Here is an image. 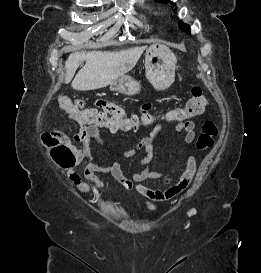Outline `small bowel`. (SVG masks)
<instances>
[{"instance_id":"c3829d8e","label":"small bowel","mask_w":261,"mask_h":273,"mask_svg":"<svg viewBox=\"0 0 261 273\" xmlns=\"http://www.w3.org/2000/svg\"><path fill=\"white\" fill-rule=\"evenodd\" d=\"M96 107L101 111L107 113L111 116H117L119 118H127L125 111L117 106L114 103L107 102L104 100L96 101ZM143 111H149L151 109L150 104H145L143 106ZM69 114V113H68ZM70 118L76 121L80 125V129L72 136V140H68V143L71 145L75 156L76 161L72 166L81 165L83 162H86L84 169V178L95 186L99 190L106 188L105 183L99 179L98 174L109 173L112 175L113 179L127 191H135L153 201H166L170 200L183 190L177 193H171L170 189L166 191L155 190L149 188L143 184V181L146 180H159L164 177V173L160 171L153 170L149 163L153 159V146L152 141L155 137L158 136L161 130L160 124L156 123L149 136L141 139L133 148L124 150L121 152L123 157L129 158L134 156L137 152L144 150L145 156L140 160V168L133 172L132 178H127L122 170L121 163L115 161L108 164H100L95 160V157L91 150V141H95L100 147L105 150H108V146L105 144L104 138L101 135L99 126L86 124L82 120L74 117L69 114ZM114 133L119 130H110ZM175 131L185 132L184 140L186 143L190 144L195 139V124L190 120L178 121L175 125ZM79 143L80 145H78ZM196 171V162L193 156H190L187 160L186 167L182 174L180 175L179 180L188 179V185L190 184ZM69 178L76 185L78 190L84 193H90L91 188L88 184L84 183L81 177L75 173L72 168L68 170ZM185 190V189H184ZM143 204L149 209H155V204L149 201H143Z\"/></svg>"}]
</instances>
